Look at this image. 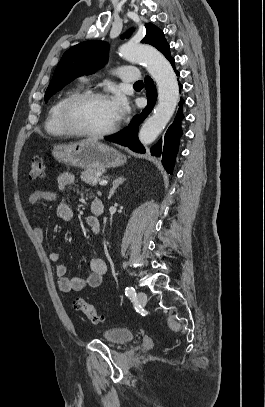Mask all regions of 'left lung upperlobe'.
<instances>
[{
    "mask_svg": "<svg viewBox=\"0 0 265 407\" xmlns=\"http://www.w3.org/2000/svg\"><path fill=\"white\" fill-rule=\"evenodd\" d=\"M146 36L142 43L150 44L172 58L170 48L163 32L151 23L145 25ZM130 32L124 37H129ZM108 59V44L104 41L90 40L79 43L68 49L62 56L53 78L45 93V102L75 78L88 75L102 67Z\"/></svg>",
    "mask_w": 265,
    "mask_h": 407,
    "instance_id": "obj_1",
    "label": "left lung upper lobe"
}]
</instances>
